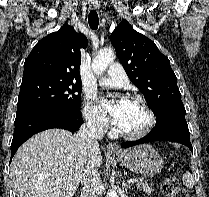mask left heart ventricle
<instances>
[{
  "mask_svg": "<svg viewBox=\"0 0 209 197\" xmlns=\"http://www.w3.org/2000/svg\"><path fill=\"white\" fill-rule=\"evenodd\" d=\"M146 122L147 114L143 107L137 102H132V107L126 116V119L119 127L127 132H135L142 129Z\"/></svg>",
  "mask_w": 209,
  "mask_h": 197,
  "instance_id": "obj_1",
  "label": "left heart ventricle"
}]
</instances>
